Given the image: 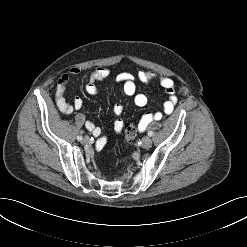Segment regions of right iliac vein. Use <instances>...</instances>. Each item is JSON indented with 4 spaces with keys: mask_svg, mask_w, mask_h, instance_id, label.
Returning a JSON list of instances; mask_svg holds the SVG:
<instances>
[{
    "mask_svg": "<svg viewBox=\"0 0 247 247\" xmlns=\"http://www.w3.org/2000/svg\"><path fill=\"white\" fill-rule=\"evenodd\" d=\"M83 144H89L90 143V138L88 136H85L82 140Z\"/></svg>",
    "mask_w": 247,
    "mask_h": 247,
    "instance_id": "63e3f726",
    "label": "right iliac vein"
}]
</instances>
